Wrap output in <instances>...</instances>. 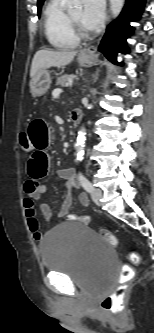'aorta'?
I'll use <instances>...</instances> for the list:
<instances>
[{
	"mask_svg": "<svg viewBox=\"0 0 154 333\" xmlns=\"http://www.w3.org/2000/svg\"><path fill=\"white\" fill-rule=\"evenodd\" d=\"M80 3V0H67V7L73 8L78 6ZM124 0H110V10L113 18H116L123 7ZM86 132L84 128H81V130L78 133L77 141H76V157L77 160L81 161L83 159L84 155V146H85V137Z\"/></svg>",
	"mask_w": 154,
	"mask_h": 333,
	"instance_id": "aorta-1",
	"label": "aorta"
}]
</instances>
